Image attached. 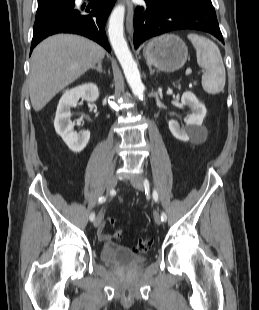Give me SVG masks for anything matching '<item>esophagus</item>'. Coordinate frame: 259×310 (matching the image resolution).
Returning a JSON list of instances; mask_svg holds the SVG:
<instances>
[{
  "mask_svg": "<svg viewBox=\"0 0 259 310\" xmlns=\"http://www.w3.org/2000/svg\"><path fill=\"white\" fill-rule=\"evenodd\" d=\"M127 6V31L131 33L133 24V3L131 0H122Z\"/></svg>",
  "mask_w": 259,
  "mask_h": 310,
  "instance_id": "esophagus-1",
  "label": "esophagus"
}]
</instances>
